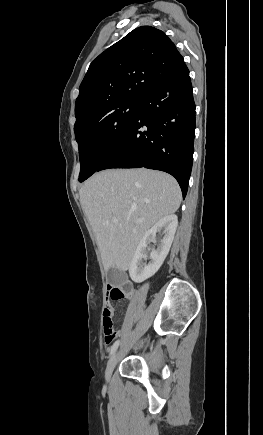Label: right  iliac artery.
Returning <instances> with one entry per match:
<instances>
[{
	"mask_svg": "<svg viewBox=\"0 0 263 435\" xmlns=\"http://www.w3.org/2000/svg\"><path fill=\"white\" fill-rule=\"evenodd\" d=\"M119 343H120L119 340H117V341L114 342V344L111 346L110 355H112V354L116 351V349H117L118 346H119Z\"/></svg>",
	"mask_w": 263,
	"mask_h": 435,
	"instance_id": "1",
	"label": "right iliac artery"
}]
</instances>
